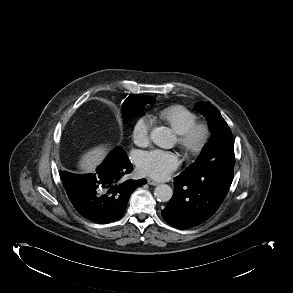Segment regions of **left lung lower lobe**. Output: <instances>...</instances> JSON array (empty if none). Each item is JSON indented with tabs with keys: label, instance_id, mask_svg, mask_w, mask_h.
Returning a JSON list of instances; mask_svg holds the SVG:
<instances>
[{
	"label": "left lung lower lobe",
	"instance_id": "0a47b994",
	"mask_svg": "<svg viewBox=\"0 0 293 293\" xmlns=\"http://www.w3.org/2000/svg\"><path fill=\"white\" fill-rule=\"evenodd\" d=\"M233 168L184 170L174 178V194L162 217L179 229L197 226L210 218L229 191Z\"/></svg>",
	"mask_w": 293,
	"mask_h": 293
}]
</instances>
